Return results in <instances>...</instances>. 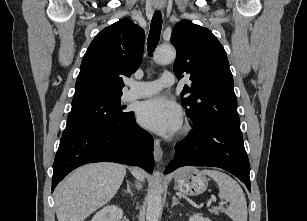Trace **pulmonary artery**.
Masks as SVG:
<instances>
[{
    "instance_id": "pulmonary-artery-1",
    "label": "pulmonary artery",
    "mask_w": 307,
    "mask_h": 221,
    "mask_svg": "<svg viewBox=\"0 0 307 221\" xmlns=\"http://www.w3.org/2000/svg\"><path fill=\"white\" fill-rule=\"evenodd\" d=\"M174 84V75L170 72H165L158 80L151 82H136L129 81L130 89L125 93L124 100L129 101L138 98L152 96L162 88L170 87Z\"/></svg>"
}]
</instances>
